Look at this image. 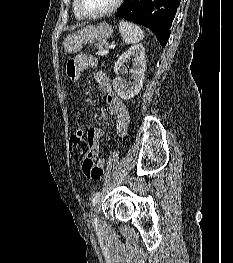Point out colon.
Returning <instances> with one entry per match:
<instances>
[{"label": "colon", "mask_w": 233, "mask_h": 263, "mask_svg": "<svg viewBox=\"0 0 233 263\" xmlns=\"http://www.w3.org/2000/svg\"><path fill=\"white\" fill-rule=\"evenodd\" d=\"M69 152L74 162L82 163L83 171L88 178L101 180L104 177V167L94 165L90 160V130L88 133H85L82 129H79L71 135L69 139Z\"/></svg>", "instance_id": "colon-1"}]
</instances>
